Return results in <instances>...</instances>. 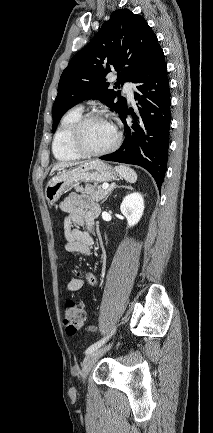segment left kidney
Wrapping results in <instances>:
<instances>
[{
	"label": "left kidney",
	"mask_w": 213,
	"mask_h": 433,
	"mask_svg": "<svg viewBox=\"0 0 213 433\" xmlns=\"http://www.w3.org/2000/svg\"><path fill=\"white\" fill-rule=\"evenodd\" d=\"M121 213L126 217L128 227L136 225L144 211V199L140 193L127 195L120 206Z\"/></svg>",
	"instance_id": "obj_1"
}]
</instances>
